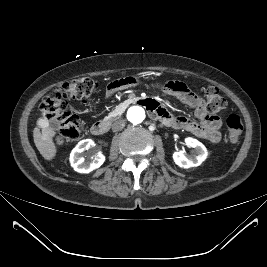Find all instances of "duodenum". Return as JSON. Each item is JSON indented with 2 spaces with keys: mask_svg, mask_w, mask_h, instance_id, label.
<instances>
[{
  "mask_svg": "<svg viewBox=\"0 0 267 267\" xmlns=\"http://www.w3.org/2000/svg\"><path fill=\"white\" fill-rule=\"evenodd\" d=\"M141 102L151 109L155 107V102L152 100H142ZM108 130L109 123L106 121L96 122L91 127V133L95 136H102L106 134Z\"/></svg>",
  "mask_w": 267,
  "mask_h": 267,
  "instance_id": "1",
  "label": "duodenum"
}]
</instances>
